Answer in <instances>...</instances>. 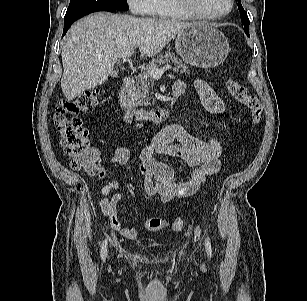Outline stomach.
Instances as JSON below:
<instances>
[{
  "label": "stomach",
  "mask_w": 307,
  "mask_h": 301,
  "mask_svg": "<svg viewBox=\"0 0 307 301\" xmlns=\"http://www.w3.org/2000/svg\"><path fill=\"white\" fill-rule=\"evenodd\" d=\"M175 49L186 63L199 68H212L225 60L229 43L215 27L197 24L177 34Z\"/></svg>",
  "instance_id": "1"
}]
</instances>
